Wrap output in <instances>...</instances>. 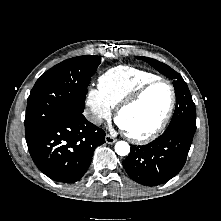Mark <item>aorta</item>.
<instances>
[{
    "instance_id": "aorta-1",
    "label": "aorta",
    "mask_w": 221,
    "mask_h": 221,
    "mask_svg": "<svg viewBox=\"0 0 221 221\" xmlns=\"http://www.w3.org/2000/svg\"><path fill=\"white\" fill-rule=\"evenodd\" d=\"M115 152L120 156H126L130 152V146L125 141H119L115 144Z\"/></svg>"
}]
</instances>
